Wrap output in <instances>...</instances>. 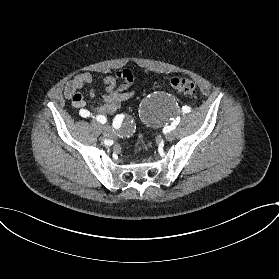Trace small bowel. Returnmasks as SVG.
Instances as JSON below:
<instances>
[{"label":"small bowel","mask_w":279,"mask_h":279,"mask_svg":"<svg viewBox=\"0 0 279 279\" xmlns=\"http://www.w3.org/2000/svg\"><path fill=\"white\" fill-rule=\"evenodd\" d=\"M97 80L104 84L105 93L102 95V103L90 108L87 107V101L81 93V89L87 87L88 96L92 99L97 97L94 89L95 78L92 74H77L66 85L64 95L82 117L88 118L93 112L99 114L114 113L123 102L131 99L136 93L135 90H128L133 81V75L128 69L120 70L114 75L100 77Z\"/></svg>","instance_id":"obj_1"}]
</instances>
